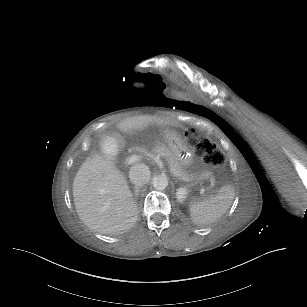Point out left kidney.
Returning a JSON list of instances; mask_svg holds the SVG:
<instances>
[{"instance_id": "5707ae66", "label": "left kidney", "mask_w": 307, "mask_h": 307, "mask_svg": "<svg viewBox=\"0 0 307 307\" xmlns=\"http://www.w3.org/2000/svg\"><path fill=\"white\" fill-rule=\"evenodd\" d=\"M187 189L186 188H179L176 192V196L179 200H184L187 195Z\"/></svg>"}]
</instances>
